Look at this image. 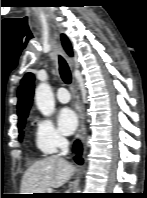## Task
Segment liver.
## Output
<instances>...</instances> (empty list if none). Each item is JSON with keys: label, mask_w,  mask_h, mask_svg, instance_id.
Segmentation results:
<instances>
[{"label": "liver", "mask_w": 147, "mask_h": 198, "mask_svg": "<svg viewBox=\"0 0 147 198\" xmlns=\"http://www.w3.org/2000/svg\"><path fill=\"white\" fill-rule=\"evenodd\" d=\"M74 173V166L59 155L36 161L24 173L21 194L46 193L50 188L61 187Z\"/></svg>", "instance_id": "1"}]
</instances>
